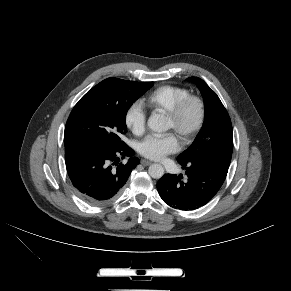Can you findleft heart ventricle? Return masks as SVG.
<instances>
[{
	"label": "left heart ventricle",
	"instance_id": "obj_1",
	"mask_svg": "<svg viewBox=\"0 0 291 291\" xmlns=\"http://www.w3.org/2000/svg\"><path fill=\"white\" fill-rule=\"evenodd\" d=\"M196 119H197V108L195 105H190L185 110L177 124H175L172 120L167 118V129H172L176 133L187 132L193 127V125L196 122Z\"/></svg>",
	"mask_w": 291,
	"mask_h": 291
}]
</instances>
